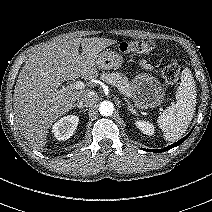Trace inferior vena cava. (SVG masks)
<instances>
[{"label": "inferior vena cava", "mask_w": 212, "mask_h": 212, "mask_svg": "<svg viewBox=\"0 0 212 212\" xmlns=\"http://www.w3.org/2000/svg\"><path fill=\"white\" fill-rule=\"evenodd\" d=\"M77 100L80 105L84 107H90L97 102L98 95L94 91H88V92L81 93L78 96Z\"/></svg>", "instance_id": "obj_1"}]
</instances>
